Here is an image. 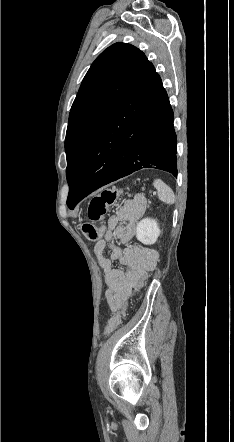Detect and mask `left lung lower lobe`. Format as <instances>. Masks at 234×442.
<instances>
[{
  "instance_id": "left-lung-lower-lobe-1",
  "label": "left lung lower lobe",
  "mask_w": 234,
  "mask_h": 442,
  "mask_svg": "<svg viewBox=\"0 0 234 442\" xmlns=\"http://www.w3.org/2000/svg\"><path fill=\"white\" fill-rule=\"evenodd\" d=\"M176 143L168 96L149 62L93 139L68 207L142 168L177 177Z\"/></svg>"
}]
</instances>
